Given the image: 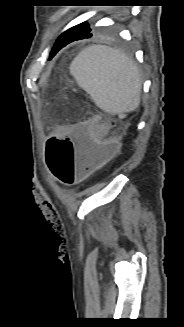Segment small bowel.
I'll return each mask as SVG.
<instances>
[{
    "instance_id": "c3829d8e",
    "label": "small bowel",
    "mask_w": 184,
    "mask_h": 327,
    "mask_svg": "<svg viewBox=\"0 0 184 327\" xmlns=\"http://www.w3.org/2000/svg\"><path fill=\"white\" fill-rule=\"evenodd\" d=\"M77 124H83V123H77ZM74 125L75 124L59 127L53 131L52 135H64V136L69 135L68 132L70 129H74ZM52 143H59V142H52Z\"/></svg>"
}]
</instances>
